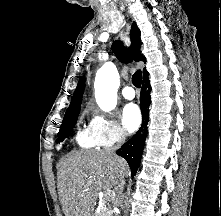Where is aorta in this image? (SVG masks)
I'll return each mask as SVG.
<instances>
[{"instance_id":"762f6f07","label":"aorta","mask_w":221,"mask_h":216,"mask_svg":"<svg viewBox=\"0 0 221 216\" xmlns=\"http://www.w3.org/2000/svg\"><path fill=\"white\" fill-rule=\"evenodd\" d=\"M119 74L112 62L105 63L96 73L94 88L98 106L106 112L112 111L117 104Z\"/></svg>"}]
</instances>
